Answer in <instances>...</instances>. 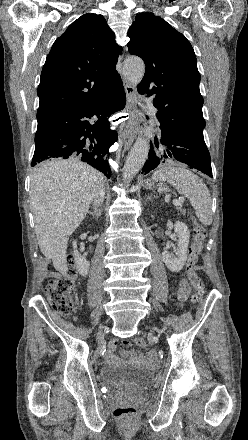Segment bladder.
<instances>
[{
    "label": "bladder",
    "instance_id": "31cf9c89",
    "mask_svg": "<svg viewBox=\"0 0 248 440\" xmlns=\"http://www.w3.org/2000/svg\"><path fill=\"white\" fill-rule=\"evenodd\" d=\"M100 375L107 383L120 388H138L149 386L154 379L149 370L129 366H103Z\"/></svg>",
    "mask_w": 248,
    "mask_h": 440
}]
</instances>
